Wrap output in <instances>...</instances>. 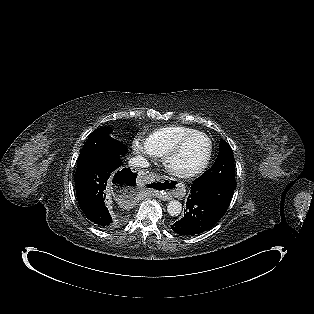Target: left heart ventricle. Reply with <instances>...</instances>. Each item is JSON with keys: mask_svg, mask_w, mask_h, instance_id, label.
I'll return each instance as SVG.
<instances>
[{"mask_svg": "<svg viewBox=\"0 0 314 314\" xmlns=\"http://www.w3.org/2000/svg\"><path fill=\"white\" fill-rule=\"evenodd\" d=\"M208 153V142L203 136L188 140L183 150L173 159V166L182 171L192 170L203 163Z\"/></svg>", "mask_w": 314, "mask_h": 314, "instance_id": "left-heart-ventricle-1", "label": "left heart ventricle"}]
</instances>
